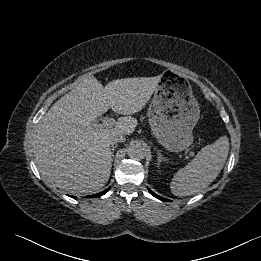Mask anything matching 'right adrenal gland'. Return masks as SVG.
I'll return each instance as SVG.
<instances>
[{"label":"right adrenal gland","mask_w":261,"mask_h":261,"mask_svg":"<svg viewBox=\"0 0 261 261\" xmlns=\"http://www.w3.org/2000/svg\"><path fill=\"white\" fill-rule=\"evenodd\" d=\"M116 147H117V145H115V146L113 145L112 146V157L114 156V151H115Z\"/></svg>","instance_id":"right-adrenal-gland-1"}]
</instances>
